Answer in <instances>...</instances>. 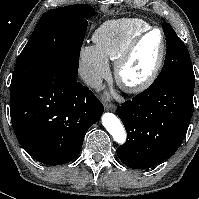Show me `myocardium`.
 I'll return each mask as SVG.
<instances>
[{"label":"myocardium","mask_w":199,"mask_h":199,"mask_svg":"<svg viewBox=\"0 0 199 199\" xmlns=\"http://www.w3.org/2000/svg\"><path fill=\"white\" fill-rule=\"evenodd\" d=\"M153 32H158L161 35V50L158 56V59L149 73L144 79L137 81V82H128L125 80L123 76V69L129 59L131 58L132 54L134 53L135 49L139 45V43L147 37L149 34ZM167 51V39L164 32L160 28L150 27L147 30L139 33L136 35L126 46L123 52L115 61L114 73L115 78L119 86L129 92V93H140L148 89L158 78L160 71L163 67L165 56Z\"/></svg>","instance_id":"f54148a6"}]
</instances>
